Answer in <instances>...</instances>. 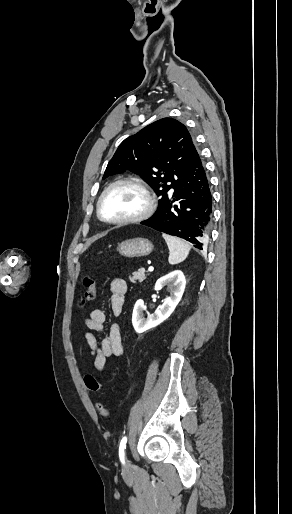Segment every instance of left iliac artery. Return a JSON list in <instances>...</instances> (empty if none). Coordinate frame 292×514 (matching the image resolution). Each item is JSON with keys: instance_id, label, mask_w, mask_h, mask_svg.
I'll list each match as a JSON object with an SVG mask.
<instances>
[{"instance_id": "1", "label": "left iliac artery", "mask_w": 292, "mask_h": 514, "mask_svg": "<svg viewBox=\"0 0 292 514\" xmlns=\"http://www.w3.org/2000/svg\"><path fill=\"white\" fill-rule=\"evenodd\" d=\"M126 443H127V437L124 436L121 439L120 446H119V457H120V460H121V462L123 464L125 463V461H124V456H125L124 450L126 448Z\"/></svg>"}]
</instances>
